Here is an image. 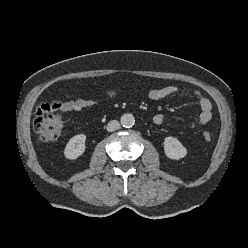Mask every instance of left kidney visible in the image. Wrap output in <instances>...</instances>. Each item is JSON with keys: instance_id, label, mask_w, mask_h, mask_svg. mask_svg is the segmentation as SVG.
Returning <instances> with one entry per match:
<instances>
[{"instance_id": "obj_1", "label": "left kidney", "mask_w": 248, "mask_h": 248, "mask_svg": "<svg viewBox=\"0 0 248 248\" xmlns=\"http://www.w3.org/2000/svg\"><path fill=\"white\" fill-rule=\"evenodd\" d=\"M164 151L168 158L178 160L187 155L186 148L175 137H166L164 139Z\"/></svg>"}]
</instances>
